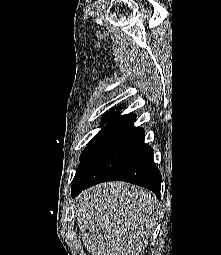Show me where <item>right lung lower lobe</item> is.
Here are the masks:
<instances>
[{"mask_svg":"<svg viewBox=\"0 0 221 255\" xmlns=\"http://www.w3.org/2000/svg\"><path fill=\"white\" fill-rule=\"evenodd\" d=\"M135 115L116 112L94 137L76 171L72 197L92 185L121 180L152 190L160 198L161 174L144 144L143 128L133 125Z\"/></svg>","mask_w":221,"mask_h":255,"instance_id":"right-lung-lower-lobe-1","label":"right lung lower lobe"}]
</instances>
